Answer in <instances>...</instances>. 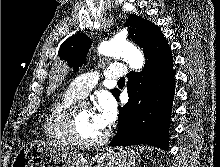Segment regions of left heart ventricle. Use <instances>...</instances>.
Returning a JSON list of instances; mask_svg holds the SVG:
<instances>
[{"mask_svg": "<svg viewBox=\"0 0 220 167\" xmlns=\"http://www.w3.org/2000/svg\"><path fill=\"white\" fill-rule=\"evenodd\" d=\"M77 131L80 138L90 141L100 138L105 129L101 128L96 122L92 109L82 107L77 115Z\"/></svg>", "mask_w": 220, "mask_h": 167, "instance_id": "1", "label": "left heart ventricle"}]
</instances>
